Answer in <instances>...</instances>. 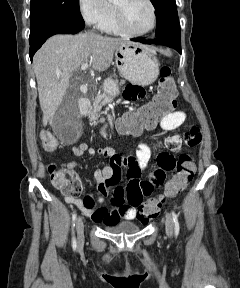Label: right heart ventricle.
<instances>
[{"label":"right heart ventricle","mask_w":240,"mask_h":288,"mask_svg":"<svg viewBox=\"0 0 240 288\" xmlns=\"http://www.w3.org/2000/svg\"><path fill=\"white\" fill-rule=\"evenodd\" d=\"M101 28L108 33H114V34L124 33L118 26L115 9L113 10V13L110 16V18L101 26Z\"/></svg>","instance_id":"e07e8e85"}]
</instances>
